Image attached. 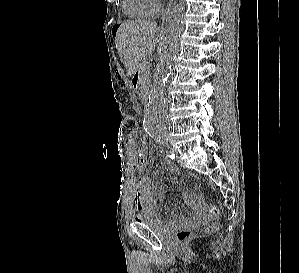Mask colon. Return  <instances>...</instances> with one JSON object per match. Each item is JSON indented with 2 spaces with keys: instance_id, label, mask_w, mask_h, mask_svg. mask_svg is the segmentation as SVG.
<instances>
[{
  "instance_id": "1",
  "label": "colon",
  "mask_w": 299,
  "mask_h": 273,
  "mask_svg": "<svg viewBox=\"0 0 299 273\" xmlns=\"http://www.w3.org/2000/svg\"><path fill=\"white\" fill-rule=\"evenodd\" d=\"M142 149L148 150V142L146 137H142L140 139ZM219 215V208L215 205H210L206 211V218L207 221H214ZM190 231L188 229H181L177 232L176 237L178 241L182 242L185 241L190 236Z\"/></svg>"
}]
</instances>
